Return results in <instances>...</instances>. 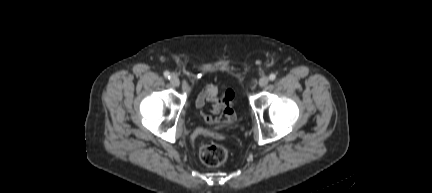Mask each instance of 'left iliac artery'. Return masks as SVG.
Listing matches in <instances>:
<instances>
[{
	"label": "left iliac artery",
	"mask_w": 432,
	"mask_h": 193,
	"mask_svg": "<svg viewBox=\"0 0 432 193\" xmlns=\"http://www.w3.org/2000/svg\"><path fill=\"white\" fill-rule=\"evenodd\" d=\"M269 79H270L271 81L275 80V79H276V75L273 74V73L270 74Z\"/></svg>",
	"instance_id": "left-iliac-artery-1"
}]
</instances>
